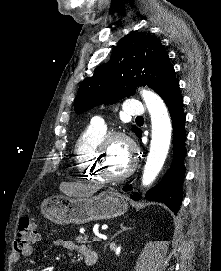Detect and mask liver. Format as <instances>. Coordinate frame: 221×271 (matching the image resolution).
Segmentation results:
<instances>
[{"mask_svg":"<svg viewBox=\"0 0 221 271\" xmlns=\"http://www.w3.org/2000/svg\"><path fill=\"white\" fill-rule=\"evenodd\" d=\"M97 189H100V187H97ZM69 193H76V195H81V197H89L92 191L89 193L87 187H77V185H71V191H69Z\"/></svg>","mask_w":221,"mask_h":271,"instance_id":"liver-1","label":"liver"}]
</instances>
